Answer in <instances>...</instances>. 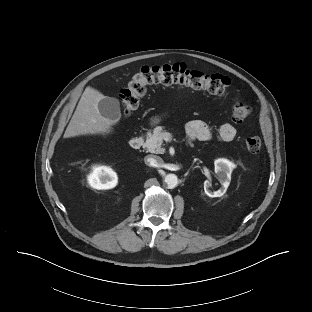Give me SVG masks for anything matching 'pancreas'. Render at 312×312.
Here are the masks:
<instances>
[{
	"mask_svg": "<svg viewBox=\"0 0 312 312\" xmlns=\"http://www.w3.org/2000/svg\"><path fill=\"white\" fill-rule=\"evenodd\" d=\"M165 131L161 126L156 127L153 133H148L144 147L150 153L163 154L165 149L162 147Z\"/></svg>",
	"mask_w": 312,
	"mask_h": 312,
	"instance_id": "obj_1",
	"label": "pancreas"
}]
</instances>
